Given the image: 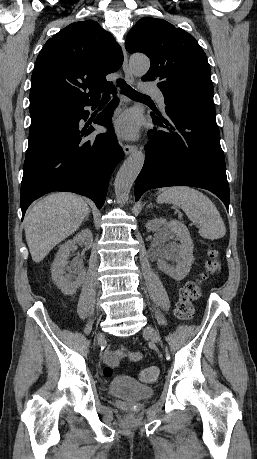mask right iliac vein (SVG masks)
Wrapping results in <instances>:
<instances>
[{
  "mask_svg": "<svg viewBox=\"0 0 257 459\" xmlns=\"http://www.w3.org/2000/svg\"><path fill=\"white\" fill-rule=\"evenodd\" d=\"M103 339H104V334H103L102 332H99V333L97 334V340L100 342V341H102Z\"/></svg>",
  "mask_w": 257,
  "mask_h": 459,
  "instance_id": "1",
  "label": "right iliac vein"
}]
</instances>
